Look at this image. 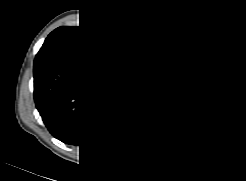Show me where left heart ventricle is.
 I'll use <instances>...</instances> for the list:
<instances>
[{
	"label": "left heart ventricle",
	"instance_id": "b2bd125f",
	"mask_svg": "<svg viewBox=\"0 0 246 181\" xmlns=\"http://www.w3.org/2000/svg\"><path fill=\"white\" fill-rule=\"evenodd\" d=\"M170 55H171V52L169 50L164 51L160 55L157 63H160L162 65H167V63L169 62V59L171 57Z\"/></svg>",
	"mask_w": 246,
	"mask_h": 181
}]
</instances>
